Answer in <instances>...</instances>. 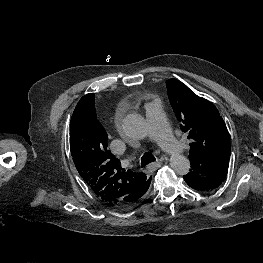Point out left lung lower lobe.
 I'll return each instance as SVG.
<instances>
[{
    "label": "left lung lower lobe",
    "instance_id": "0a47b994",
    "mask_svg": "<svg viewBox=\"0 0 263 263\" xmlns=\"http://www.w3.org/2000/svg\"><path fill=\"white\" fill-rule=\"evenodd\" d=\"M190 163V172L184 176V180L191 188L204 192L219 187L225 180L229 167V162L225 160L213 163L190 161Z\"/></svg>",
    "mask_w": 263,
    "mask_h": 263
}]
</instances>
